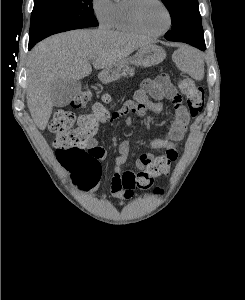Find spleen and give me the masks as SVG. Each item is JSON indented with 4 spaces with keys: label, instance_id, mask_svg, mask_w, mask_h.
Here are the masks:
<instances>
[{
    "label": "spleen",
    "instance_id": "obj_1",
    "mask_svg": "<svg viewBox=\"0 0 245 300\" xmlns=\"http://www.w3.org/2000/svg\"><path fill=\"white\" fill-rule=\"evenodd\" d=\"M181 70L195 80H202L204 77V64L200 54L195 50L184 51V59L180 65Z\"/></svg>",
    "mask_w": 245,
    "mask_h": 300
}]
</instances>
